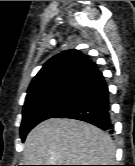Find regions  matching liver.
I'll list each match as a JSON object with an SVG mask.
<instances>
[{
    "label": "liver",
    "mask_w": 135,
    "mask_h": 166,
    "mask_svg": "<svg viewBox=\"0 0 135 166\" xmlns=\"http://www.w3.org/2000/svg\"><path fill=\"white\" fill-rule=\"evenodd\" d=\"M115 150L110 135L98 127L51 118L27 135L24 159L29 165H111Z\"/></svg>",
    "instance_id": "obj_1"
}]
</instances>
